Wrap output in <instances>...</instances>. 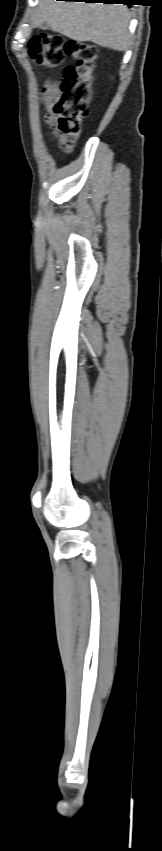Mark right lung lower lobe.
I'll return each instance as SVG.
<instances>
[{"label":"right lung lower lobe","instance_id":"1","mask_svg":"<svg viewBox=\"0 0 162 851\" xmlns=\"http://www.w3.org/2000/svg\"><path fill=\"white\" fill-rule=\"evenodd\" d=\"M66 1H85V2H102L105 4H119L122 3L124 5H131V2L134 0H66Z\"/></svg>","mask_w":162,"mask_h":851}]
</instances>
